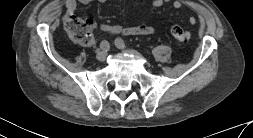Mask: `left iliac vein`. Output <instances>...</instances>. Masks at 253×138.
<instances>
[{"label":"left iliac vein","mask_w":253,"mask_h":138,"mask_svg":"<svg viewBox=\"0 0 253 138\" xmlns=\"http://www.w3.org/2000/svg\"><path fill=\"white\" fill-rule=\"evenodd\" d=\"M123 51L125 53L132 54V55H135L137 57H141V54L139 52H137L136 50L126 48V49H123Z\"/></svg>","instance_id":"obj_1"}]
</instances>
